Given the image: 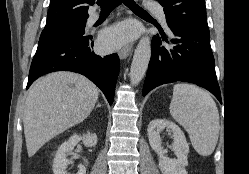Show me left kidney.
<instances>
[{
	"label": "left kidney",
	"mask_w": 249,
	"mask_h": 174,
	"mask_svg": "<svg viewBox=\"0 0 249 174\" xmlns=\"http://www.w3.org/2000/svg\"><path fill=\"white\" fill-rule=\"evenodd\" d=\"M164 129L172 133L174 140L172 148L177 159L165 156L167 150L163 149L160 137V132ZM147 131L150 146L159 157V169L162 174H187L185 167L188 165L189 145L180 127L171 121L156 119L149 123Z\"/></svg>",
	"instance_id": "left-kidney-1"
}]
</instances>
